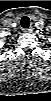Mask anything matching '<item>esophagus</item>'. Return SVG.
<instances>
[{
  "instance_id": "34e87169",
  "label": "esophagus",
  "mask_w": 51,
  "mask_h": 101,
  "mask_svg": "<svg viewBox=\"0 0 51 101\" xmlns=\"http://www.w3.org/2000/svg\"><path fill=\"white\" fill-rule=\"evenodd\" d=\"M32 31H33V28L32 27L23 29V32L24 33H31Z\"/></svg>"
}]
</instances>
